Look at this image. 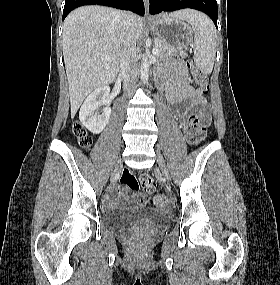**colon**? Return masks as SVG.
Returning a JSON list of instances; mask_svg holds the SVG:
<instances>
[{
	"mask_svg": "<svg viewBox=\"0 0 280 285\" xmlns=\"http://www.w3.org/2000/svg\"><path fill=\"white\" fill-rule=\"evenodd\" d=\"M187 67L190 71L191 78L194 84L197 86L198 90L202 95H207L208 87V77L207 75L196 68L192 62H187ZM209 122L204 119H199L195 115H190L185 123L184 131L187 141L192 145H197L204 140L207 133V126ZM73 131L78 138L79 145L88 149L92 144L91 137L87 134L85 128L80 123H75L73 125ZM122 183L130 186L132 189L142 188L145 192H151L155 189V182L149 175H142L137 179L129 171H124L121 176ZM169 202V196L166 193L158 194L154 197L153 203L156 206H165Z\"/></svg>",
	"mask_w": 280,
	"mask_h": 285,
	"instance_id": "5ec220e1",
	"label": "colon"
}]
</instances>
